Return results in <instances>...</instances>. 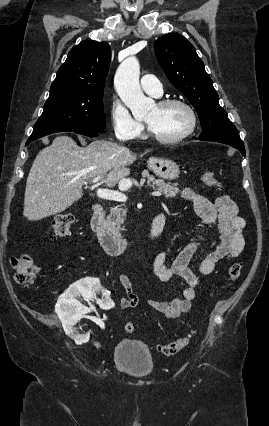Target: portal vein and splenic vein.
I'll use <instances>...</instances> for the list:
<instances>
[{"mask_svg":"<svg viewBox=\"0 0 269 426\" xmlns=\"http://www.w3.org/2000/svg\"><path fill=\"white\" fill-rule=\"evenodd\" d=\"M100 180V177H96L92 180L93 188H97L98 182ZM129 186H121V190H125ZM96 194L99 198L105 199V200H113L117 202H125L127 200V196L123 194L122 192L118 191H112L104 188H97ZM153 196H161V192H153Z\"/></svg>","mask_w":269,"mask_h":426,"instance_id":"obj_1","label":"portal vein and splenic vein"}]
</instances>
